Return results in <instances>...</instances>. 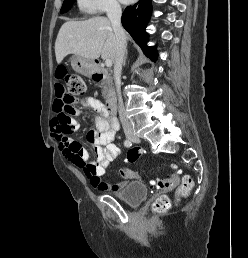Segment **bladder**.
Listing matches in <instances>:
<instances>
[{
  "label": "bladder",
  "instance_id": "31cf9c89",
  "mask_svg": "<svg viewBox=\"0 0 248 258\" xmlns=\"http://www.w3.org/2000/svg\"><path fill=\"white\" fill-rule=\"evenodd\" d=\"M115 195L127 205L134 207L147 198L148 189L142 182H131L117 191Z\"/></svg>",
  "mask_w": 248,
  "mask_h": 258
}]
</instances>
